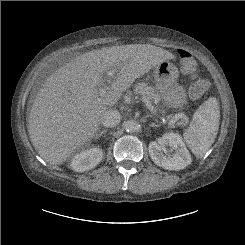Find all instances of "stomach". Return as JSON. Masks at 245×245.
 Instances as JSON below:
<instances>
[{
    "instance_id": "0dacf381",
    "label": "stomach",
    "mask_w": 245,
    "mask_h": 245,
    "mask_svg": "<svg viewBox=\"0 0 245 245\" xmlns=\"http://www.w3.org/2000/svg\"><path fill=\"white\" fill-rule=\"evenodd\" d=\"M154 82L159 97L168 108L181 109L187 103L185 88L177 83L179 72L175 65L163 61L155 66L153 71Z\"/></svg>"
}]
</instances>
